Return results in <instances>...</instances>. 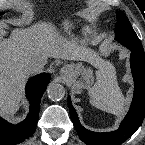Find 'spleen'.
<instances>
[{
	"instance_id": "1",
	"label": "spleen",
	"mask_w": 145,
	"mask_h": 145,
	"mask_svg": "<svg viewBox=\"0 0 145 145\" xmlns=\"http://www.w3.org/2000/svg\"><path fill=\"white\" fill-rule=\"evenodd\" d=\"M90 102L96 108L120 116L125 111V98L118 86L113 67L101 71L89 89Z\"/></svg>"
}]
</instances>
